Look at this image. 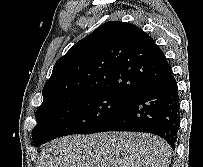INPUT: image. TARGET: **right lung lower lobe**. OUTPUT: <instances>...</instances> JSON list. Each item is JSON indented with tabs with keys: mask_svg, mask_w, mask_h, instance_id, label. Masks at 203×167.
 <instances>
[{
	"mask_svg": "<svg viewBox=\"0 0 203 167\" xmlns=\"http://www.w3.org/2000/svg\"><path fill=\"white\" fill-rule=\"evenodd\" d=\"M177 82L170 73L165 79L131 98L93 133L137 131L160 136L174 150L180 124Z\"/></svg>",
	"mask_w": 203,
	"mask_h": 167,
	"instance_id": "1",
	"label": "right lung lower lobe"
}]
</instances>
